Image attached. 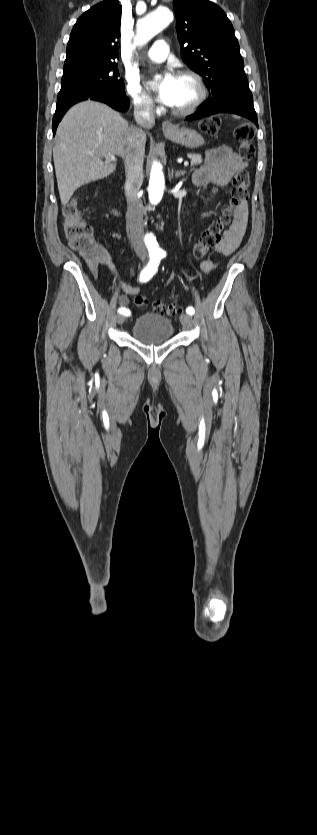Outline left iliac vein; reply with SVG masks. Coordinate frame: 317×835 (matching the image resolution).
Listing matches in <instances>:
<instances>
[{
  "label": "left iliac vein",
  "mask_w": 317,
  "mask_h": 835,
  "mask_svg": "<svg viewBox=\"0 0 317 835\" xmlns=\"http://www.w3.org/2000/svg\"><path fill=\"white\" fill-rule=\"evenodd\" d=\"M180 322L186 328H190L193 324L192 317L189 314H182L180 316Z\"/></svg>",
  "instance_id": "1"
}]
</instances>
